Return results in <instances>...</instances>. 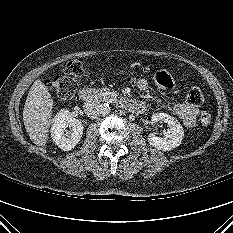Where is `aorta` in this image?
Instances as JSON below:
<instances>
[{
    "label": "aorta",
    "instance_id": "obj_1",
    "mask_svg": "<svg viewBox=\"0 0 233 233\" xmlns=\"http://www.w3.org/2000/svg\"><path fill=\"white\" fill-rule=\"evenodd\" d=\"M110 112V106L108 104H103L102 115H107Z\"/></svg>",
    "mask_w": 233,
    "mask_h": 233
}]
</instances>
